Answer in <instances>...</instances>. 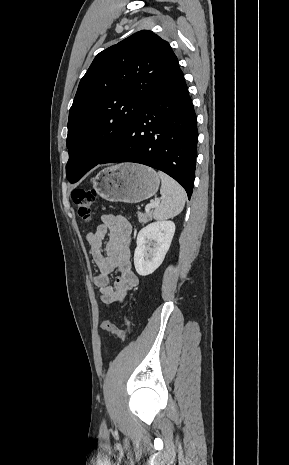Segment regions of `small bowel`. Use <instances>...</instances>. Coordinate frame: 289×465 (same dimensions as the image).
Returning a JSON list of instances; mask_svg holds the SVG:
<instances>
[{"mask_svg":"<svg viewBox=\"0 0 289 465\" xmlns=\"http://www.w3.org/2000/svg\"><path fill=\"white\" fill-rule=\"evenodd\" d=\"M131 240V224L124 217L112 214H103L96 230L86 235L91 256L100 270L98 275L93 276V282L107 306L122 302L138 284V277L132 271L130 262ZM114 271L118 275L112 283L110 275Z\"/></svg>","mask_w":289,"mask_h":465,"instance_id":"obj_1","label":"small bowel"}]
</instances>
